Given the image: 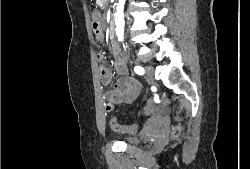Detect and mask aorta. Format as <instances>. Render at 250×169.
<instances>
[{
  "label": "aorta",
  "instance_id": "1",
  "mask_svg": "<svg viewBox=\"0 0 250 169\" xmlns=\"http://www.w3.org/2000/svg\"><path fill=\"white\" fill-rule=\"evenodd\" d=\"M124 4L125 0H118L116 6L115 16V24H116V34L119 40H122L124 34Z\"/></svg>",
  "mask_w": 250,
  "mask_h": 169
}]
</instances>
